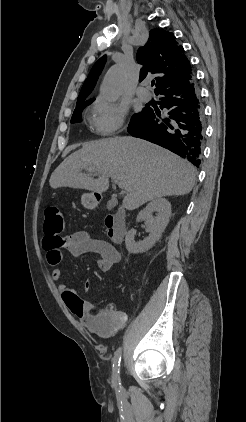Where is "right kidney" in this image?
<instances>
[{
    "instance_id": "right-kidney-1",
    "label": "right kidney",
    "mask_w": 246,
    "mask_h": 422,
    "mask_svg": "<svg viewBox=\"0 0 246 422\" xmlns=\"http://www.w3.org/2000/svg\"><path fill=\"white\" fill-rule=\"evenodd\" d=\"M153 212H157V216L153 217ZM171 216V204L165 198H157L150 202L137 216V221L145 220L147 222L146 231L149 236L143 241L136 242V230L128 231L125 239L126 248L131 254H138L148 251L160 239L164 232L169 218Z\"/></svg>"
}]
</instances>
